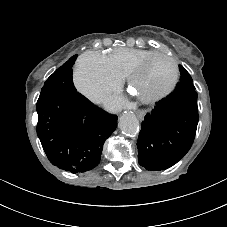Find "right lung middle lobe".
Listing matches in <instances>:
<instances>
[{
    "label": "right lung middle lobe",
    "mask_w": 227,
    "mask_h": 227,
    "mask_svg": "<svg viewBox=\"0 0 227 227\" xmlns=\"http://www.w3.org/2000/svg\"><path fill=\"white\" fill-rule=\"evenodd\" d=\"M77 55L71 57L66 63L59 67L45 82L42 91L55 90L56 92L76 91L72 79V67Z\"/></svg>",
    "instance_id": "right-lung-middle-lobe-1"
}]
</instances>
